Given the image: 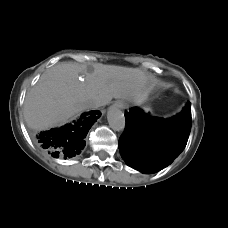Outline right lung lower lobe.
<instances>
[{
  "instance_id": "right-lung-lower-lobe-1",
  "label": "right lung lower lobe",
  "mask_w": 228,
  "mask_h": 228,
  "mask_svg": "<svg viewBox=\"0 0 228 228\" xmlns=\"http://www.w3.org/2000/svg\"><path fill=\"white\" fill-rule=\"evenodd\" d=\"M101 116L99 111L83 113L77 120L62 127L37 133L34 140L55 158H71L85 146L92 124Z\"/></svg>"
}]
</instances>
